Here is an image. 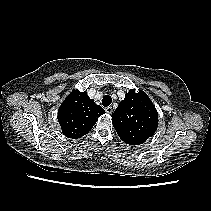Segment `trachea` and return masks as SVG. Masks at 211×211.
Instances as JSON below:
<instances>
[{"label":"trachea","instance_id":"obj_1","mask_svg":"<svg viewBox=\"0 0 211 211\" xmlns=\"http://www.w3.org/2000/svg\"><path fill=\"white\" fill-rule=\"evenodd\" d=\"M112 98L109 95H105L102 99V105L107 107L111 104Z\"/></svg>","mask_w":211,"mask_h":211}]
</instances>
